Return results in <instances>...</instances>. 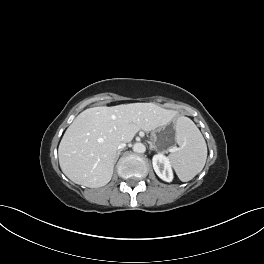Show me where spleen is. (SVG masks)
Here are the masks:
<instances>
[{
  "mask_svg": "<svg viewBox=\"0 0 264 264\" xmlns=\"http://www.w3.org/2000/svg\"><path fill=\"white\" fill-rule=\"evenodd\" d=\"M175 139L179 148L169 155V159L179 179L186 182L205 166L207 145L195 123L184 116L176 121Z\"/></svg>",
  "mask_w": 264,
  "mask_h": 264,
  "instance_id": "1",
  "label": "spleen"
}]
</instances>
